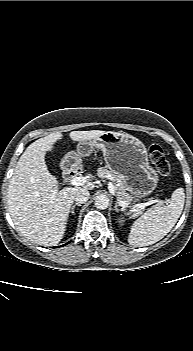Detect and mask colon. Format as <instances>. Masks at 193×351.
I'll use <instances>...</instances> for the list:
<instances>
[{
  "label": "colon",
  "instance_id": "1",
  "mask_svg": "<svg viewBox=\"0 0 193 351\" xmlns=\"http://www.w3.org/2000/svg\"><path fill=\"white\" fill-rule=\"evenodd\" d=\"M149 157L151 163L157 169L161 176H168L170 173V165L165 157L162 148L159 145L153 144L149 147Z\"/></svg>",
  "mask_w": 193,
  "mask_h": 351
}]
</instances>
